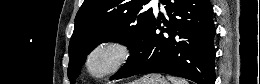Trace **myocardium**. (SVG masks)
Returning <instances> with one entry per match:
<instances>
[{"label":"myocardium","mask_w":260,"mask_h":84,"mask_svg":"<svg viewBox=\"0 0 260 84\" xmlns=\"http://www.w3.org/2000/svg\"><path fill=\"white\" fill-rule=\"evenodd\" d=\"M133 54L132 45L121 38L107 37L97 41L86 52L83 69L93 80H103L119 73Z\"/></svg>","instance_id":"f54148a6"}]
</instances>
